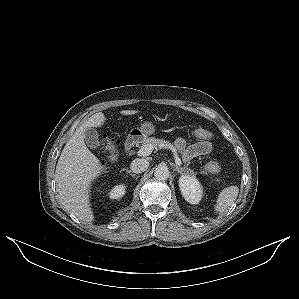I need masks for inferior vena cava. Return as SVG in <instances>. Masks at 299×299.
I'll return each instance as SVG.
<instances>
[{"label":"inferior vena cava","instance_id":"obj_1","mask_svg":"<svg viewBox=\"0 0 299 299\" xmlns=\"http://www.w3.org/2000/svg\"><path fill=\"white\" fill-rule=\"evenodd\" d=\"M149 167V162L146 159H135L131 162L130 168L134 173H142Z\"/></svg>","mask_w":299,"mask_h":299}]
</instances>
